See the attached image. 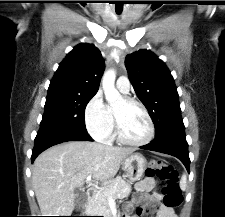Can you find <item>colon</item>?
I'll list each match as a JSON object with an SVG mask.
<instances>
[{"label":"colon","instance_id":"5ec220e1","mask_svg":"<svg viewBox=\"0 0 225 217\" xmlns=\"http://www.w3.org/2000/svg\"><path fill=\"white\" fill-rule=\"evenodd\" d=\"M147 176H156L164 183L163 204L177 208L182 204L183 196L178 184V172L166 161L153 159L149 162Z\"/></svg>","mask_w":225,"mask_h":217}]
</instances>
